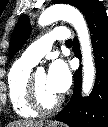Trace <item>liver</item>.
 Instances as JSON below:
<instances>
[{
    "label": "liver",
    "mask_w": 108,
    "mask_h": 127,
    "mask_svg": "<svg viewBox=\"0 0 108 127\" xmlns=\"http://www.w3.org/2000/svg\"><path fill=\"white\" fill-rule=\"evenodd\" d=\"M43 121H34V120H19L11 122L7 127H43Z\"/></svg>",
    "instance_id": "1"
}]
</instances>
